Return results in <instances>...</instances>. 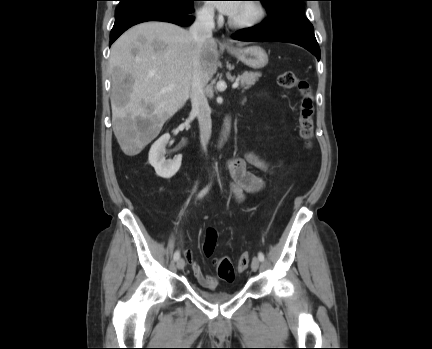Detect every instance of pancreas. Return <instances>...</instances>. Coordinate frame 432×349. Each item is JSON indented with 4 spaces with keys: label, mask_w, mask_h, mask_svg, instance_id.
<instances>
[{
    "label": "pancreas",
    "mask_w": 432,
    "mask_h": 349,
    "mask_svg": "<svg viewBox=\"0 0 432 349\" xmlns=\"http://www.w3.org/2000/svg\"><path fill=\"white\" fill-rule=\"evenodd\" d=\"M259 77H261L260 72L245 71L241 75H238L237 79L240 82L241 87H243L244 89H248L256 83Z\"/></svg>",
    "instance_id": "1"
}]
</instances>
